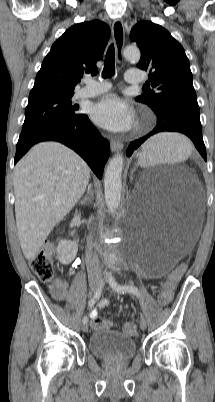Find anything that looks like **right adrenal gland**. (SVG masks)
I'll use <instances>...</instances> for the list:
<instances>
[{
  "mask_svg": "<svg viewBox=\"0 0 215 402\" xmlns=\"http://www.w3.org/2000/svg\"><path fill=\"white\" fill-rule=\"evenodd\" d=\"M89 190H90V200L92 199V196H93V190H92V188H91V185H89ZM79 204H81V205H86L87 204V201H86V199H84V200H81V201H79Z\"/></svg>",
  "mask_w": 215,
  "mask_h": 402,
  "instance_id": "1",
  "label": "right adrenal gland"
}]
</instances>
